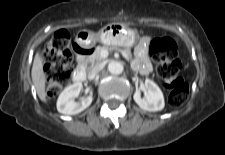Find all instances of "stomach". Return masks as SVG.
<instances>
[{"mask_svg": "<svg viewBox=\"0 0 225 155\" xmlns=\"http://www.w3.org/2000/svg\"><path fill=\"white\" fill-rule=\"evenodd\" d=\"M77 41L80 44H87L91 41H100L105 45H117L131 47L137 41V35L123 24H109L102 28L98 33L93 34L88 31H81Z\"/></svg>", "mask_w": 225, "mask_h": 155, "instance_id": "stomach-1", "label": "stomach"}]
</instances>
